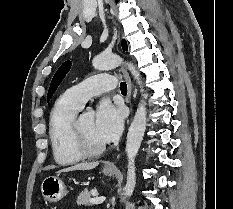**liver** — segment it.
<instances>
[{
  "instance_id": "liver-1",
  "label": "liver",
  "mask_w": 233,
  "mask_h": 209,
  "mask_svg": "<svg viewBox=\"0 0 233 209\" xmlns=\"http://www.w3.org/2000/svg\"><path fill=\"white\" fill-rule=\"evenodd\" d=\"M98 164H99V162L80 163V164H76L74 166L59 170L58 173L70 172V171H76V170H91V169H94L95 167H97Z\"/></svg>"
}]
</instances>
